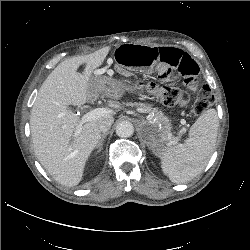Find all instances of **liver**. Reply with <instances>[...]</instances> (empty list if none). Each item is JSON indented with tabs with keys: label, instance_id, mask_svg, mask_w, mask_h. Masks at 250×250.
Here are the masks:
<instances>
[{
	"label": "liver",
	"instance_id": "obj_1",
	"mask_svg": "<svg viewBox=\"0 0 250 250\" xmlns=\"http://www.w3.org/2000/svg\"><path fill=\"white\" fill-rule=\"evenodd\" d=\"M110 48L72 57L60 63L42 84L30 117L35 155L46 171L60 184L73 187L80 183L86 161L98 144L99 124L114 119L115 110L86 122L79 134L78 116L68 106L87 102L95 70L102 65ZM86 64L83 73L77 72Z\"/></svg>",
	"mask_w": 250,
	"mask_h": 250
}]
</instances>
